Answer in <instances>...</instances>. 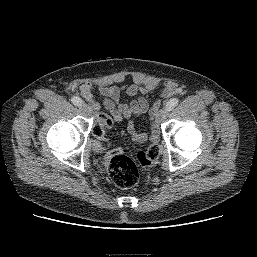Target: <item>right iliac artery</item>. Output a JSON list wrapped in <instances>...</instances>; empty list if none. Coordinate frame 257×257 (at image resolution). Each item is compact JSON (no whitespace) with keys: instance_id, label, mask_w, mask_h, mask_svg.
<instances>
[{"instance_id":"obj_1","label":"right iliac artery","mask_w":257,"mask_h":257,"mask_svg":"<svg viewBox=\"0 0 257 257\" xmlns=\"http://www.w3.org/2000/svg\"><path fill=\"white\" fill-rule=\"evenodd\" d=\"M71 101H72V103H73L74 105H76V106H80V105L82 104V100H81V98H79L78 96H73V97L71 98Z\"/></svg>"}]
</instances>
